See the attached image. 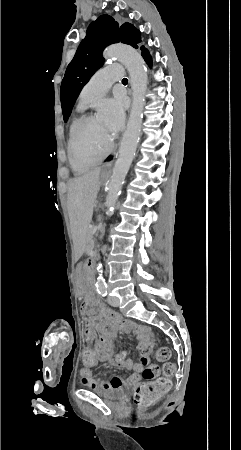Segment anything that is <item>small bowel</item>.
I'll use <instances>...</instances> for the list:
<instances>
[{"label":"small bowel","instance_id":"small-bowel-1","mask_svg":"<svg viewBox=\"0 0 241 450\" xmlns=\"http://www.w3.org/2000/svg\"><path fill=\"white\" fill-rule=\"evenodd\" d=\"M94 306L93 298H84L80 305L83 317L87 318V325L85 329L86 347H95L97 349V362H106L111 365L123 366L132 373L126 377L114 376L108 381L98 382L91 379V371L89 369H82L81 376L84 384L91 389L114 390L126 386H134L141 382L144 369L149 365L154 343V334L152 329L144 324H138L131 320H124L119 322V326L114 329H109L107 324H95L96 318L90 316L89 307ZM118 332L133 333L136 336L137 348L139 351L138 363H133L127 358V352L122 351L114 358H112L113 343L115 335ZM95 333H100L99 337H95Z\"/></svg>","mask_w":241,"mask_h":450}]
</instances>
